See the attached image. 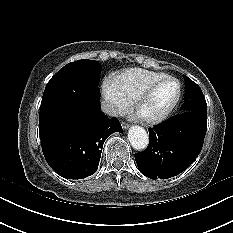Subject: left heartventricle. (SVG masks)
<instances>
[{"instance_id": "obj_1", "label": "left heart ventricle", "mask_w": 233, "mask_h": 233, "mask_svg": "<svg viewBox=\"0 0 233 233\" xmlns=\"http://www.w3.org/2000/svg\"><path fill=\"white\" fill-rule=\"evenodd\" d=\"M176 85L172 81L159 83L141 103L138 112L143 117H154L162 113L173 101Z\"/></svg>"}]
</instances>
